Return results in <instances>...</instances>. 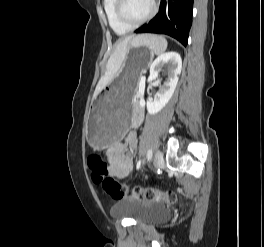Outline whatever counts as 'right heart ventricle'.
<instances>
[{
  "label": "right heart ventricle",
  "mask_w": 264,
  "mask_h": 247,
  "mask_svg": "<svg viewBox=\"0 0 264 247\" xmlns=\"http://www.w3.org/2000/svg\"><path fill=\"white\" fill-rule=\"evenodd\" d=\"M115 8L116 0H103V9L112 30L119 35L126 34L130 31L131 28L123 24L117 18Z\"/></svg>",
  "instance_id": "1"
}]
</instances>
